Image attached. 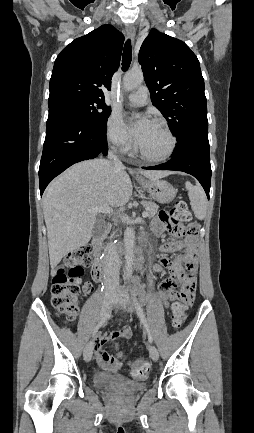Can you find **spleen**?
<instances>
[{"instance_id": "1", "label": "spleen", "mask_w": 254, "mask_h": 433, "mask_svg": "<svg viewBox=\"0 0 254 433\" xmlns=\"http://www.w3.org/2000/svg\"><path fill=\"white\" fill-rule=\"evenodd\" d=\"M188 190V196L194 215L197 219L203 220L207 213V199L203 189L200 186H194L190 182L185 183Z\"/></svg>"}]
</instances>
